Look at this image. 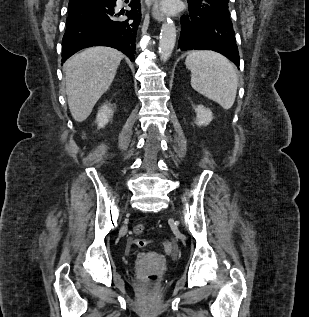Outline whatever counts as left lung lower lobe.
Here are the masks:
<instances>
[{"instance_id":"0a47b994","label":"left lung lower lobe","mask_w":309,"mask_h":317,"mask_svg":"<svg viewBox=\"0 0 309 317\" xmlns=\"http://www.w3.org/2000/svg\"><path fill=\"white\" fill-rule=\"evenodd\" d=\"M189 12V15L181 18L178 48L182 51L213 50L239 67V52L231 19L191 7Z\"/></svg>"}]
</instances>
